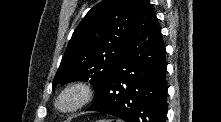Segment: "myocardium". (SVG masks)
Instances as JSON below:
<instances>
[{"label": "myocardium", "instance_id": "myocardium-1", "mask_svg": "<svg viewBox=\"0 0 221 122\" xmlns=\"http://www.w3.org/2000/svg\"><path fill=\"white\" fill-rule=\"evenodd\" d=\"M93 88L87 82L77 80L63 86L54 99V108L61 114H72L87 106L93 98ZM70 100V103H66Z\"/></svg>", "mask_w": 221, "mask_h": 122}]
</instances>
